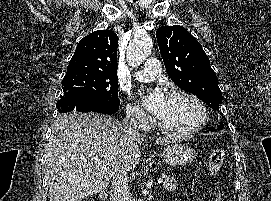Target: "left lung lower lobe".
Instances as JSON below:
<instances>
[{
	"label": "left lung lower lobe",
	"instance_id": "left-lung-lower-lobe-1",
	"mask_svg": "<svg viewBox=\"0 0 271 201\" xmlns=\"http://www.w3.org/2000/svg\"><path fill=\"white\" fill-rule=\"evenodd\" d=\"M223 126H219L217 129H212L211 131H217V130H222Z\"/></svg>",
	"mask_w": 271,
	"mask_h": 201
}]
</instances>
